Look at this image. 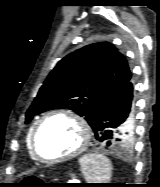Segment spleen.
I'll use <instances>...</instances> for the list:
<instances>
[{
    "label": "spleen",
    "mask_w": 160,
    "mask_h": 187,
    "mask_svg": "<svg viewBox=\"0 0 160 187\" xmlns=\"http://www.w3.org/2000/svg\"><path fill=\"white\" fill-rule=\"evenodd\" d=\"M81 171L89 183H108L111 178L110 160L102 154H86L79 158Z\"/></svg>",
    "instance_id": "spleen-1"
}]
</instances>
